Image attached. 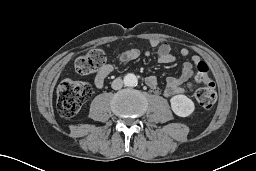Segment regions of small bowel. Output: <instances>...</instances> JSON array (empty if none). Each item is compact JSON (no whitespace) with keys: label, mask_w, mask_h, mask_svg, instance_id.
Wrapping results in <instances>:
<instances>
[{"label":"small bowel","mask_w":256,"mask_h":171,"mask_svg":"<svg viewBox=\"0 0 256 171\" xmlns=\"http://www.w3.org/2000/svg\"><path fill=\"white\" fill-rule=\"evenodd\" d=\"M150 45L153 48H157L158 61L161 64H170L175 60L174 55L172 54V47L169 43L163 42L159 39H152ZM180 54L183 57L189 55L188 48H182ZM139 56V51L137 49H129L125 51L119 58V62H128L133 61ZM201 62L199 56L195 55L192 57L191 62H186L181 68V72L176 77H169L166 80L163 94L166 97H171L176 94H183L190 92L194 88V82L191 80L194 71L193 66ZM117 66L112 63L104 64L96 73L94 84L97 88H102L105 82V79L115 72ZM146 84L154 91L159 92L158 81L154 76H149L145 80Z\"/></svg>","instance_id":"1"}]
</instances>
